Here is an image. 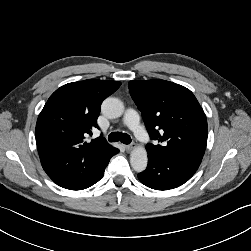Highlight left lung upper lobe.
Returning a JSON list of instances; mask_svg holds the SVG:
<instances>
[{
    "label": "left lung upper lobe",
    "mask_w": 251,
    "mask_h": 251,
    "mask_svg": "<svg viewBox=\"0 0 251 251\" xmlns=\"http://www.w3.org/2000/svg\"><path fill=\"white\" fill-rule=\"evenodd\" d=\"M129 91L151 139L160 142L147 144L148 154L200 165L207 144V119L193 93L165 80L130 81Z\"/></svg>",
    "instance_id": "obj_1"
}]
</instances>
